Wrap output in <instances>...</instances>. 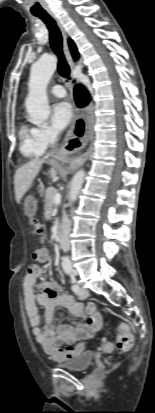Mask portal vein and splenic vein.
Masks as SVG:
<instances>
[{"mask_svg": "<svg viewBox=\"0 0 155 413\" xmlns=\"http://www.w3.org/2000/svg\"><path fill=\"white\" fill-rule=\"evenodd\" d=\"M61 202V194L60 193H56L53 199V203L55 205L59 204Z\"/></svg>", "mask_w": 155, "mask_h": 413, "instance_id": "1", "label": "portal vein and splenic vein"}]
</instances>
